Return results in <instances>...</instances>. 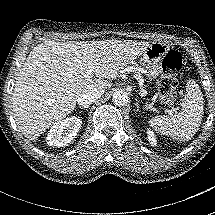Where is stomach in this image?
I'll return each instance as SVG.
<instances>
[{"instance_id":"stomach-1","label":"stomach","mask_w":215,"mask_h":215,"mask_svg":"<svg viewBox=\"0 0 215 215\" xmlns=\"http://www.w3.org/2000/svg\"><path fill=\"white\" fill-rule=\"evenodd\" d=\"M169 44L152 42L140 55L139 64L144 67L143 72L147 74L150 81L157 79L162 71L163 59L170 51Z\"/></svg>"}]
</instances>
